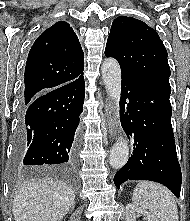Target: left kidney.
I'll return each mask as SVG.
<instances>
[{
	"instance_id": "obj_1",
	"label": "left kidney",
	"mask_w": 190,
	"mask_h": 221,
	"mask_svg": "<svg viewBox=\"0 0 190 221\" xmlns=\"http://www.w3.org/2000/svg\"><path fill=\"white\" fill-rule=\"evenodd\" d=\"M141 215H143L147 221H158L154 215L150 214L146 210L139 209L133 204H127L126 221H136V218Z\"/></svg>"
}]
</instances>
